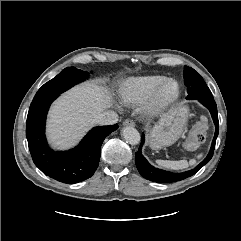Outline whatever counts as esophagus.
Returning <instances> with one entry per match:
<instances>
[{"instance_id": "esophagus-1", "label": "esophagus", "mask_w": 241, "mask_h": 241, "mask_svg": "<svg viewBox=\"0 0 241 241\" xmlns=\"http://www.w3.org/2000/svg\"><path fill=\"white\" fill-rule=\"evenodd\" d=\"M123 125L124 126H135V123L133 120L131 119H126L124 122H123Z\"/></svg>"}]
</instances>
